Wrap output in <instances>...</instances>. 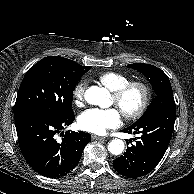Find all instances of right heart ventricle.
<instances>
[{"label":"right heart ventricle","instance_id":"1","mask_svg":"<svg viewBox=\"0 0 194 194\" xmlns=\"http://www.w3.org/2000/svg\"><path fill=\"white\" fill-rule=\"evenodd\" d=\"M97 79L110 91L118 89L131 80L128 75L114 71L100 73L97 75Z\"/></svg>","mask_w":194,"mask_h":194}]
</instances>
